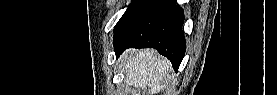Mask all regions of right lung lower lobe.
I'll return each instance as SVG.
<instances>
[{
	"instance_id": "right-lung-lower-lobe-1",
	"label": "right lung lower lobe",
	"mask_w": 277,
	"mask_h": 95,
	"mask_svg": "<svg viewBox=\"0 0 277 95\" xmlns=\"http://www.w3.org/2000/svg\"><path fill=\"white\" fill-rule=\"evenodd\" d=\"M184 19L175 0H147L114 32L116 56L130 47H152L177 71L186 49Z\"/></svg>"
}]
</instances>
